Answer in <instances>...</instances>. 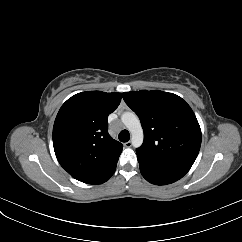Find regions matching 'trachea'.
<instances>
[{
	"label": "trachea",
	"instance_id": "trachea-1",
	"mask_svg": "<svg viewBox=\"0 0 242 242\" xmlns=\"http://www.w3.org/2000/svg\"><path fill=\"white\" fill-rule=\"evenodd\" d=\"M119 140L121 142H128L129 139H130V134L127 130H122L120 133H119V136H118Z\"/></svg>",
	"mask_w": 242,
	"mask_h": 242
}]
</instances>
